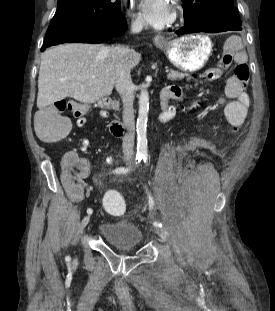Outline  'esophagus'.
I'll return each mask as SVG.
<instances>
[{
  "instance_id": "obj_1",
  "label": "esophagus",
  "mask_w": 275,
  "mask_h": 311,
  "mask_svg": "<svg viewBox=\"0 0 275 311\" xmlns=\"http://www.w3.org/2000/svg\"><path fill=\"white\" fill-rule=\"evenodd\" d=\"M153 40H154L155 44H163V43H165V38L162 35H156Z\"/></svg>"
}]
</instances>
